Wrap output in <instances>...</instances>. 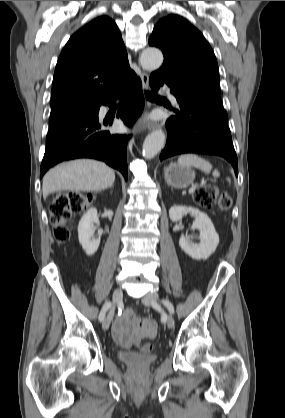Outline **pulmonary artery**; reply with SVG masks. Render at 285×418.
<instances>
[{"instance_id":"obj_1","label":"pulmonary artery","mask_w":285,"mask_h":418,"mask_svg":"<svg viewBox=\"0 0 285 418\" xmlns=\"http://www.w3.org/2000/svg\"><path fill=\"white\" fill-rule=\"evenodd\" d=\"M163 90L165 91V93H166V95H167V97L169 98V99H172V100H174L175 99V96H174V94L169 90V89H167V88H163Z\"/></svg>"}]
</instances>
